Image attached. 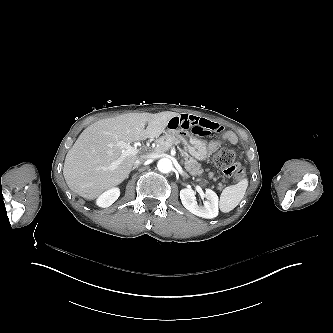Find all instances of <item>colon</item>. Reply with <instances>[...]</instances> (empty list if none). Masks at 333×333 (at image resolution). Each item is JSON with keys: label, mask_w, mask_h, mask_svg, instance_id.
<instances>
[{"label": "colon", "mask_w": 333, "mask_h": 333, "mask_svg": "<svg viewBox=\"0 0 333 333\" xmlns=\"http://www.w3.org/2000/svg\"><path fill=\"white\" fill-rule=\"evenodd\" d=\"M213 162L226 177L234 176L238 179L242 178L245 166L242 162L236 161L234 149L224 148L217 151L214 155ZM229 170L232 172L230 175L227 173Z\"/></svg>", "instance_id": "5ec220e1"}]
</instances>
